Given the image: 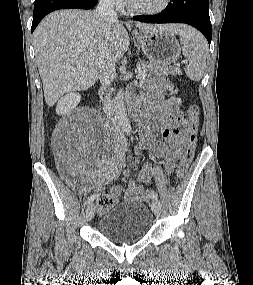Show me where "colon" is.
Here are the masks:
<instances>
[{
  "label": "colon",
  "mask_w": 253,
  "mask_h": 285,
  "mask_svg": "<svg viewBox=\"0 0 253 285\" xmlns=\"http://www.w3.org/2000/svg\"><path fill=\"white\" fill-rule=\"evenodd\" d=\"M199 107L195 104L190 105L187 110V121H188V143L182 158L175 170L176 180H181L187 173L195 154L196 143H197V130L199 125ZM150 198L149 192L147 190L143 193V199L147 201ZM116 199L108 192L101 194L97 198V207L99 210L104 211L107 208L113 206Z\"/></svg>",
  "instance_id": "obj_1"
}]
</instances>
